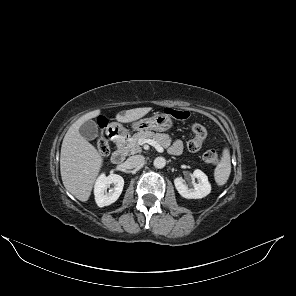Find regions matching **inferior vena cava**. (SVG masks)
I'll list each match as a JSON object with an SVG mask.
<instances>
[{"instance_id":"inferior-vena-cava-1","label":"inferior vena cava","mask_w":296,"mask_h":296,"mask_svg":"<svg viewBox=\"0 0 296 296\" xmlns=\"http://www.w3.org/2000/svg\"><path fill=\"white\" fill-rule=\"evenodd\" d=\"M144 157L142 155L131 156L127 159V163L131 168L139 167L143 164Z\"/></svg>"}]
</instances>
